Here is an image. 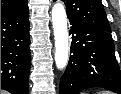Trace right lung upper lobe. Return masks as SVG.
<instances>
[{
	"label": "right lung upper lobe",
	"mask_w": 121,
	"mask_h": 94,
	"mask_svg": "<svg viewBox=\"0 0 121 94\" xmlns=\"http://www.w3.org/2000/svg\"><path fill=\"white\" fill-rule=\"evenodd\" d=\"M26 2L27 0H1V14L20 8Z\"/></svg>",
	"instance_id": "1"
}]
</instances>
